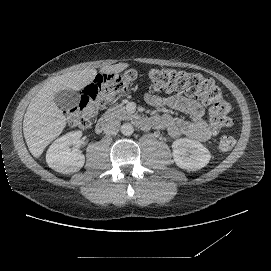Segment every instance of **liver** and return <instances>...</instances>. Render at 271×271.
I'll return each mask as SVG.
<instances>
[{
    "instance_id": "1",
    "label": "liver",
    "mask_w": 271,
    "mask_h": 271,
    "mask_svg": "<svg viewBox=\"0 0 271 271\" xmlns=\"http://www.w3.org/2000/svg\"><path fill=\"white\" fill-rule=\"evenodd\" d=\"M128 66L127 63L103 66L100 72L117 74ZM96 74V69L85 68L55 76L33 97L23 120L24 138L33 157L39 158L66 126V117L54 102V95L63 90L80 91L94 80Z\"/></svg>"
}]
</instances>
